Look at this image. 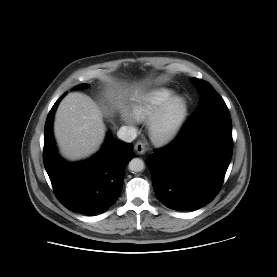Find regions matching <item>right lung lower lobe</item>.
Returning <instances> with one entry per match:
<instances>
[{
    "label": "right lung lower lobe",
    "instance_id": "obj_1",
    "mask_svg": "<svg viewBox=\"0 0 277 277\" xmlns=\"http://www.w3.org/2000/svg\"><path fill=\"white\" fill-rule=\"evenodd\" d=\"M63 94L47 116L43 161L58 200L69 210L85 215L107 211L121 194L124 172L133 158V145L108 135L102 149L92 158L69 163L57 153L52 124Z\"/></svg>",
    "mask_w": 277,
    "mask_h": 277
}]
</instances>
